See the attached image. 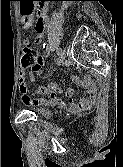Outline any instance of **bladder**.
<instances>
[{
    "label": "bladder",
    "mask_w": 123,
    "mask_h": 167,
    "mask_svg": "<svg viewBox=\"0 0 123 167\" xmlns=\"http://www.w3.org/2000/svg\"><path fill=\"white\" fill-rule=\"evenodd\" d=\"M31 110L44 117L48 116L49 114V110L42 105H36L32 107Z\"/></svg>",
    "instance_id": "bladder-1"
}]
</instances>
